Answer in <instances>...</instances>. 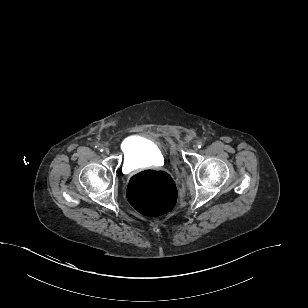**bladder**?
<instances>
[{
  "instance_id": "bladder-1",
  "label": "bladder",
  "mask_w": 308,
  "mask_h": 308,
  "mask_svg": "<svg viewBox=\"0 0 308 308\" xmlns=\"http://www.w3.org/2000/svg\"><path fill=\"white\" fill-rule=\"evenodd\" d=\"M124 164L128 167L156 165L164 161V153L156 141L142 135H134L123 144Z\"/></svg>"
}]
</instances>
